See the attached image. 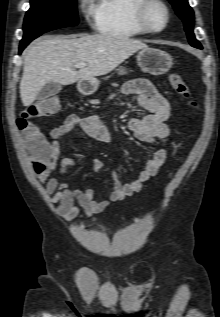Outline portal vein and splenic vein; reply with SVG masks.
Segmentation results:
<instances>
[{"label":"portal vein and splenic vein","mask_w":220,"mask_h":317,"mask_svg":"<svg viewBox=\"0 0 220 317\" xmlns=\"http://www.w3.org/2000/svg\"><path fill=\"white\" fill-rule=\"evenodd\" d=\"M87 66V64L86 63H78V64H76V68H84V67H86Z\"/></svg>","instance_id":"1"}]
</instances>
